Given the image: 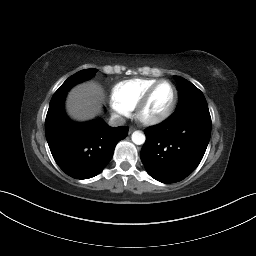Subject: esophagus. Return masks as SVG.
<instances>
[{
	"mask_svg": "<svg viewBox=\"0 0 256 256\" xmlns=\"http://www.w3.org/2000/svg\"><path fill=\"white\" fill-rule=\"evenodd\" d=\"M135 130V128L134 127H129V133H132L133 131Z\"/></svg>",
	"mask_w": 256,
	"mask_h": 256,
	"instance_id": "obj_1",
	"label": "esophagus"
}]
</instances>
